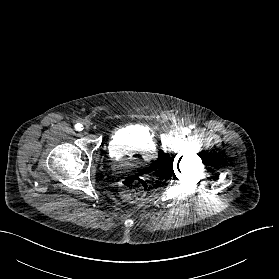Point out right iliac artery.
Listing matches in <instances>:
<instances>
[{"instance_id": "1", "label": "right iliac artery", "mask_w": 279, "mask_h": 279, "mask_svg": "<svg viewBox=\"0 0 279 279\" xmlns=\"http://www.w3.org/2000/svg\"><path fill=\"white\" fill-rule=\"evenodd\" d=\"M75 129L78 130V131L83 130L82 125L79 124V123L75 125Z\"/></svg>"}]
</instances>
